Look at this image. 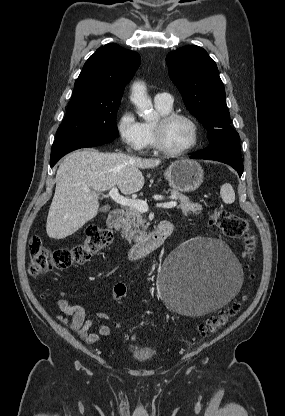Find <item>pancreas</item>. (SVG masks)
Instances as JSON below:
<instances>
[{
  "mask_svg": "<svg viewBox=\"0 0 285 416\" xmlns=\"http://www.w3.org/2000/svg\"><path fill=\"white\" fill-rule=\"evenodd\" d=\"M171 196H174L173 200H180V204L178 208L182 210L183 214H200L201 210H203L200 204H193L190 202L187 196L184 194H178L177 190H168ZM166 192V194H168ZM146 220L138 210L135 208H131V206H127L125 212V222H122V234H124L126 240H128L129 244H131V240H138L140 236H145L147 226H145Z\"/></svg>",
  "mask_w": 285,
  "mask_h": 416,
  "instance_id": "obj_1",
  "label": "pancreas"
}]
</instances>
